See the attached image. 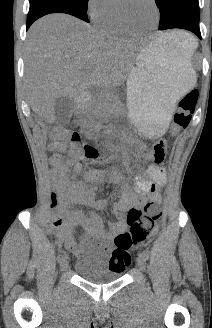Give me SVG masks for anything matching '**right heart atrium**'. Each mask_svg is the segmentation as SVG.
<instances>
[{"label": "right heart atrium", "instance_id": "obj_1", "mask_svg": "<svg viewBox=\"0 0 212 328\" xmlns=\"http://www.w3.org/2000/svg\"><path fill=\"white\" fill-rule=\"evenodd\" d=\"M114 8L113 0H87L86 11L89 18L98 23Z\"/></svg>", "mask_w": 212, "mask_h": 328}]
</instances>
